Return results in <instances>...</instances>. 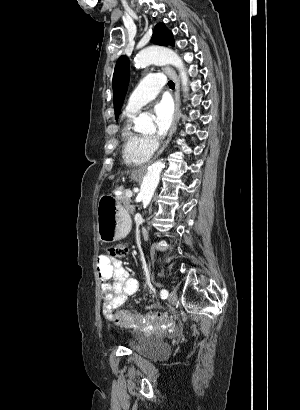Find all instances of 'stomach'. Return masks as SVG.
Listing matches in <instances>:
<instances>
[{
    "label": "stomach",
    "instance_id": "1",
    "mask_svg": "<svg viewBox=\"0 0 300 410\" xmlns=\"http://www.w3.org/2000/svg\"><path fill=\"white\" fill-rule=\"evenodd\" d=\"M133 179L138 177L133 175ZM130 228V217L112 196H102L97 208V230L103 242H114L125 237Z\"/></svg>",
    "mask_w": 300,
    "mask_h": 410
}]
</instances>
